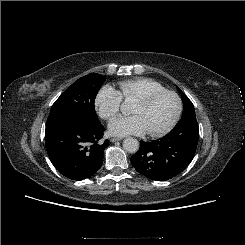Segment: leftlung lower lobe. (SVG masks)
<instances>
[{"instance_id": "obj_1", "label": "left lung lower lobe", "mask_w": 245, "mask_h": 245, "mask_svg": "<svg viewBox=\"0 0 245 245\" xmlns=\"http://www.w3.org/2000/svg\"><path fill=\"white\" fill-rule=\"evenodd\" d=\"M197 145L174 142L165 137L150 143L141 142L138 152L131 157L133 167L144 176L164 181L181 173L192 161Z\"/></svg>"}]
</instances>
